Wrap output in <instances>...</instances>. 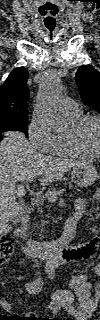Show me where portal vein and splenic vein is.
<instances>
[{
	"instance_id": "obj_1",
	"label": "portal vein and splenic vein",
	"mask_w": 100,
	"mask_h": 320,
	"mask_svg": "<svg viewBox=\"0 0 100 320\" xmlns=\"http://www.w3.org/2000/svg\"><path fill=\"white\" fill-rule=\"evenodd\" d=\"M35 178H30V179H26L27 182L32 183L34 181ZM23 181H25L24 179H21ZM64 192V190H59L57 192H47L46 193V197L49 201L51 202H55L57 200V196H60L62 193Z\"/></svg>"
}]
</instances>
